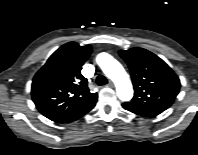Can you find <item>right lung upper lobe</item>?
I'll use <instances>...</instances> for the list:
<instances>
[{"instance_id":"1","label":"right lung upper lobe","mask_w":198,"mask_h":155,"mask_svg":"<svg viewBox=\"0 0 198 155\" xmlns=\"http://www.w3.org/2000/svg\"><path fill=\"white\" fill-rule=\"evenodd\" d=\"M90 54V45L81 47L75 42L66 43L36 73L32 99L44 116L57 122L97 100V94L89 91L88 81L81 74L82 65Z\"/></svg>"}]
</instances>
